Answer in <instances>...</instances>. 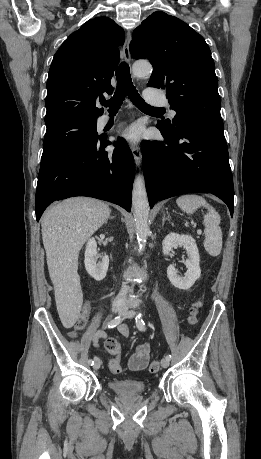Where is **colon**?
<instances>
[{"label": "colon", "instance_id": "1", "mask_svg": "<svg viewBox=\"0 0 261 459\" xmlns=\"http://www.w3.org/2000/svg\"><path fill=\"white\" fill-rule=\"evenodd\" d=\"M203 303L201 301H195L192 303L189 314L187 316V323L189 325H196L198 322V312L202 307ZM87 322V317L80 315L75 327L77 329H82L85 327ZM105 349L106 351L113 355L114 358L108 363V369L110 372L117 374L121 371V363H120V353H121V344L115 338H108L105 341ZM160 369V363L158 361H152L149 365V371L151 373H156Z\"/></svg>", "mask_w": 261, "mask_h": 459}]
</instances>
